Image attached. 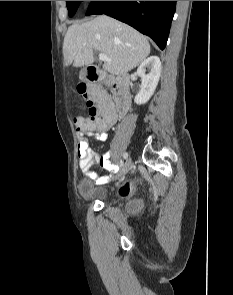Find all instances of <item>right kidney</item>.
Returning a JSON list of instances; mask_svg holds the SVG:
<instances>
[{"label":"right kidney","instance_id":"1","mask_svg":"<svg viewBox=\"0 0 233 295\" xmlns=\"http://www.w3.org/2000/svg\"><path fill=\"white\" fill-rule=\"evenodd\" d=\"M146 70L149 71L145 74ZM161 74V62L159 57L150 56L144 60L137 69V75L141 78V90L135 96L136 104H145L155 92Z\"/></svg>","mask_w":233,"mask_h":295}]
</instances>
